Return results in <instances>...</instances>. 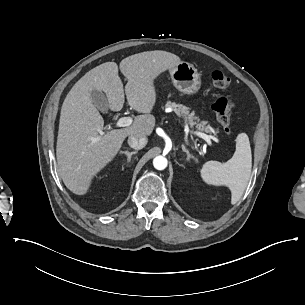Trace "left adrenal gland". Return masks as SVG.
<instances>
[{
	"instance_id": "1",
	"label": "left adrenal gland",
	"mask_w": 305,
	"mask_h": 305,
	"mask_svg": "<svg viewBox=\"0 0 305 305\" xmlns=\"http://www.w3.org/2000/svg\"><path fill=\"white\" fill-rule=\"evenodd\" d=\"M183 151L186 152L187 154V160L189 161L190 158H194V156L192 154H190V152L188 151V149H186L185 147H183Z\"/></svg>"
}]
</instances>
